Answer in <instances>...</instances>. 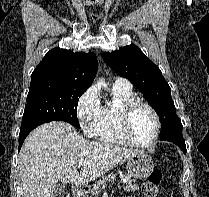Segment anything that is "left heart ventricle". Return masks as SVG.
I'll list each match as a JSON object with an SVG mask.
<instances>
[{
	"instance_id": "1",
	"label": "left heart ventricle",
	"mask_w": 209,
	"mask_h": 197,
	"mask_svg": "<svg viewBox=\"0 0 209 197\" xmlns=\"http://www.w3.org/2000/svg\"><path fill=\"white\" fill-rule=\"evenodd\" d=\"M155 129V120L152 113L144 106L136 107L130 118L132 137L138 142H148Z\"/></svg>"
}]
</instances>
